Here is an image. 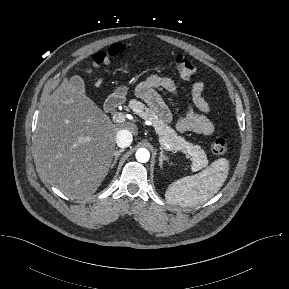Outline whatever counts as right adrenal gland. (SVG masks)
I'll return each mask as SVG.
<instances>
[{"label":"right adrenal gland","mask_w":289,"mask_h":289,"mask_svg":"<svg viewBox=\"0 0 289 289\" xmlns=\"http://www.w3.org/2000/svg\"><path fill=\"white\" fill-rule=\"evenodd\" d=\"M124 151V149H120L118 151H115V157H114V160H113V163L111 164V169L115 166V164L117 163V159L118 157L120 156V154Z\"/></svg>","instance_id":"obj_1"}]
</instances>
